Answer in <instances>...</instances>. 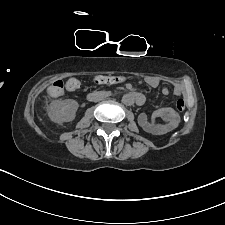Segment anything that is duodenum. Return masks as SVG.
I'll list each match as a JSON object with an SVG mask.
<instances>
[{
    "instance_id": "410a0bca",
    "label": "duodenum",
    "mask_w": 225,
    "mask_h": 225,
    "mask_svg": "<svg viewBox=\"0 0 225 225\" xmlns=\"http://www.w3.org/2000/svg\"><path fill=\"white\" fill-rule=\"evenodd\" d=\"M111 95L109 91H94L88 95L90 100H101ZM128 99H131L137 105H141L144 102V96L140 93L129 92L126 94Z\"/></svg>"
}]
</instances>
